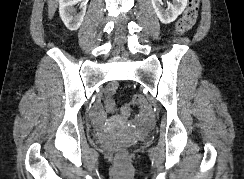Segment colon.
I'll return each mask as SVG.
<instances>
[{"mask_svg":"<svg viewBox=\"0 0 244 179\" xmlns=\"http://www.w3.org/2000/svg\"><path fill=\"white\" fill-rule=\"evenodd\" d=\"M200 1L201 0H191L189 4L186 6L184 12L180 16L177 25L176 32L179 34H185L195 24L197 15L200 10ZM104 100L107 101L106 109H118V104H111L112 100L109 99L108 96L104 97ZM131 106H139V110H150L151 103L148 98H145L144 95H135L133 101H126V104L120 108V114H117V119H122L123 123L127 122V119L131 118L132 107ZM106 116H115V111H106ZM116 158H126V150H117L115 154Z\"/></svg>","mask_w":244,"mask_h":179,"instance_id":"colon-1","label":"colon"}]
</instances>
